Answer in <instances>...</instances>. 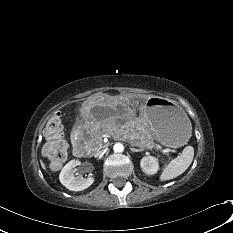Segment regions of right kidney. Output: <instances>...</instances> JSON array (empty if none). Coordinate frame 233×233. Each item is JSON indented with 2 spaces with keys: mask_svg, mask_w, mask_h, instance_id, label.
I'll return each mask as SVG.
<instances>
[{
  "mask_svg": "<svg viewBox=\"0 0 233 233\" xmlns=\"http://www.w3.org/2000/svg\"><path fill=\"white\" fill-rule=\"evenodd\" d=\"M75 166V160L69 161L61 170L59 180L71 191H82L93 184L94 178L92 176L88 178H83L81 176L75 177Z\"/></svg>",
  "mask_w": 233,
  "mask_h": 233,
  "instance_id": "obj_1",
  "label": "right kidney"
}]
</instances>
